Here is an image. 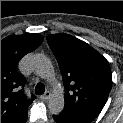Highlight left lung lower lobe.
Here are the masks:
<instances>
[{"label": "left lung lower lobe", "mask_w": 123, "mask_h": 123, "mask_svg": "<svg viewBox=\"0 0 123 123\" xmlns=\"http://www.w3.org/2000/svg\"><path fill=\"white\" fill-rule=\"evenodd\" d=\"M53 118L57 123H79L63 113L53 115Z\"/></svg>", "instance_id": "0a47b994"}]
</instances>
